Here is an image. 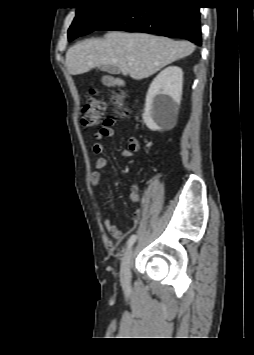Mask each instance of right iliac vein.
Masks as SVG:
<instances>
[{"label": "right iliac vein", "instance_id": "right-iliac-vein-1", "mask_svg": "<svg viewBox=\"0 0 254 355\" xmlns=\"http://www.w3.org/2000/svg\"><path fill=\"white\" fill-rule=\"evenodd\" d=\"M133 258V248L124 256L120 267V280L124 286L130 284V266Z\"/></svg>", "mask_w": 254, "mask_h": 355}]
</instances>
